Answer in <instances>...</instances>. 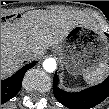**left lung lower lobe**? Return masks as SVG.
<instances>
[{"instance_id": "obj_1", "label": "left lung lower lobe", "mask_w": 109, "mask_h": 109, "mask_svg": "<svg viewBox=\"0 0 109 109\" xmlns=\"http://www.w3.org/2000/svg\"><path fill=\"white\" fill-rule=\"evenodd\" d=\"M109 37V35L107 34ZM53 92L56 99L70 109H89L109 96V77L101 84L77 93H69L58 88V76L53 79Z\"/></svg>"}]
</instances>
